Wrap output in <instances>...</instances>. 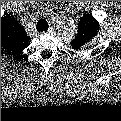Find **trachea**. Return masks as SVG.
Instances as JSON below:
<instances>
[{"label":"trachea","instance_id":"1","mask_svg":"<svg viewBox=\"0 0 121 121\" xmlns=\"http://www.w3.org/2000/svg\"><path fill=\"white\" fill-rule=\"evenodd\" d=\"M48 23L46 20L41 19L37 22L36 28L38 31H44V30H48Z\"/></svg>","mask_w":121,"mask_h":121}]
</instances>
